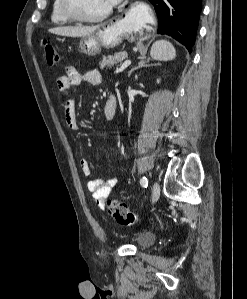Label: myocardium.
I'll use <instances>...</instances> for the list:
<instances>
[{"mask_svg":"<svg viewBox=\"0 0 247 299\" xmlns=\"http://www.w3.org/2000/svg\"><path fill=\"white\" fill-rule=\"evenodd\" d=\"M61 9L64 15L72 21L84 23H96L106 19L112 12V6L96 16H84L79 14L73 5V0H61Z\"/></svg>","mask_w":247,"mask_h":299,"instance_id":"f54148a6","label":"myocardium"}]
</instances>
